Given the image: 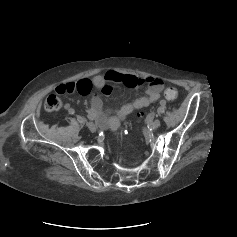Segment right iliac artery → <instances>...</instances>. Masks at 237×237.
<instances>
[{"instance_id": "right-iliac-artery-1", "label": "right iliac artery", "mask_w": 237, "mask_h": 237, "mask_svg": "<svg viewBox=\"0 0 237 237\" xmlns=\"http://www.w3.org/2000/svg\"><path fill=\"white\" fill-rule=\"evenodd\" d=\"M69 114L73 115L75 113V110L73 108L68 109Z\"/></svg>"}]
</instances>
